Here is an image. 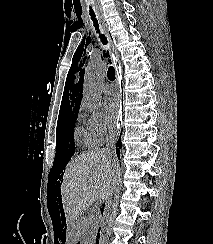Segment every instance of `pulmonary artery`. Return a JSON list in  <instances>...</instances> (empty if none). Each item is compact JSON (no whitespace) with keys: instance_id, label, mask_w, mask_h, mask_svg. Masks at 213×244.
Segmentation results:
<instances>
[{"instance_id":"1","label":"pulmonary artery","mask_w":213,"mask_h":244,"mask_svg":"<svg viewBox=\"0 0 213 244\" xmlns=\"http://www.w3.org/2000/svg\"><path fill=\"white\" fill-rule=\"evenodd\" d=\"M102 92L105 95H110L113 92V87L110 83H103L102 84Z\"/></svg>"}]
</instances>
